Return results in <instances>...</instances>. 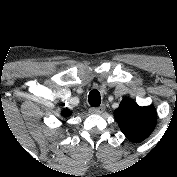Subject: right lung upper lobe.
Listing matches in <instances>:
<instances>
[{"instance_id":"1","label":"right lung upper lobe","mask_w":177,"mask_h":177,"mask_svg":"<svg viewBox=\"0 0 177 177\" xmlns=\"http://www.w3.org/2000/svg\"><path fill=\"white\" fill-rule=\"evenodd\" d=\"M61 113H62L63 116H69L71 114V111L68 110V109H64V110H62Z\"/></svg>"}]
</instances>
